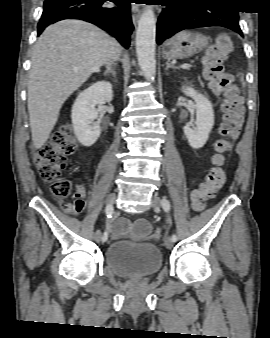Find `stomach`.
<instances>
[{
  "label": "stomach",
  "mask_w": 270,
  "mask_h": 338,
  "mask_svg": "<svg viewBox=\"0 0 270 338\" xmlns=\"http://www.w3.org/2000/svg\"><path fill=\"white\" fill-rule=\"evenodd\" d=\"M208 46L205 36L192 31H182L169 40L162 47L164 59H185L189 58Z\"/></svg>",
  "instance_id": "stomach-1"
}]
</instances>
